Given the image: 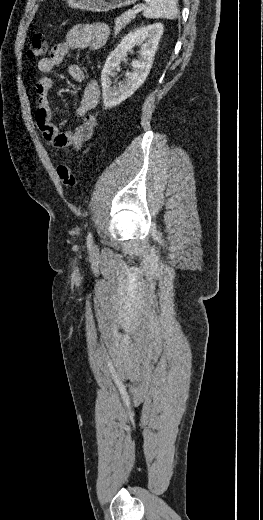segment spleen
Listing matches in <instances>:
<instances>
[{"label": "spleen", "instance_id": "1", "mask_svg": "<svg viewBox=\"0 0 263 520\" xmlns=\"http://www.w3.org/2000/svg\"><path fill=\"white\" fill-rule=\"evenodd\" d=\"M147 7L143 16L150 19L166 18L173 20L177 17V0H145Z\"/></svg>", "mask_w": 263, "mask_h": 520}]
</instances>
